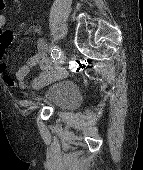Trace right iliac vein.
Wrapping results in <instances>:
<instances>
[{
	"instance_id": "1",
	"label": "right iliac vein",
	"mask_w": 143,
	"mask_h": 170,
	"mask_svg": "<svg viewBox=\"0 0 143 170\" xmlns=\"http://www.w3.org/2000/svg\"><path fill=\"white\" fill-rule=\"evenodd\" d=\"M66 61V55L63 53L59 60L56 62L54 69L49 74V81H54L62 77L61 67Z\"/></svg>"
}]
</instances>
